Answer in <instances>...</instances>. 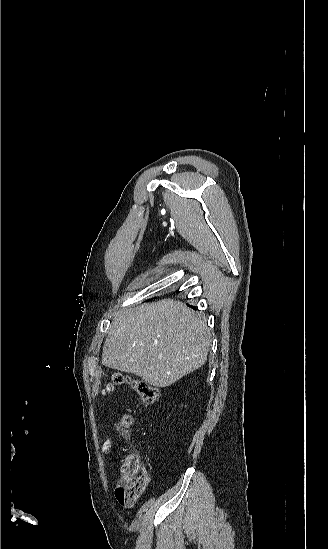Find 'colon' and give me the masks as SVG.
Segmentation results:
<instances>
[{
	"mask_svg": "<svg viewBox=\"0 0 328 549\" xmlns=\"http://www.w3.org/2000/svg\"><path fill=\"white\" fill-rule=\"evenodd\" d=\"M123 384L130 385L138 394L141 401L147 406L154 404L159 398V391L156 387L142 380H131L122 374L113 376L112 382L106 388V392H110L115 386ZM133 421L134 417L132 415L123 417L119 424V432L122 435H126ZM133 459V456L130 455L123 461L121 481L115 491L116 498L120 502L127 504L136 502L143 495L150 481L147 470Z\"/></svg>",
	"mask_w": 328,
	"mask_h": 549,
	"instance_id": "obj_1",
	"label": "colon"
}]
</instances>
